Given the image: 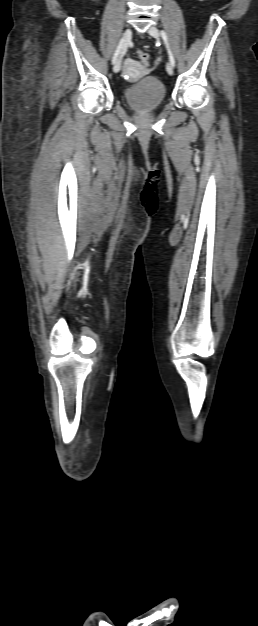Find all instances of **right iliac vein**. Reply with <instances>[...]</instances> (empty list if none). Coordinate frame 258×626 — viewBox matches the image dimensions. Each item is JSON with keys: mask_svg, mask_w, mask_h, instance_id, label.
<instances>
[{"mask_svg": "<svg viewBox=\"0 0 258 626\" xmlns=\"http://www.w3.org/2000/svg\"><path fill=\"white\" fill-rule=\"evenodd\" d=\"M131 36H132V30L131 29H126L125 32L123 33L122 39H123V46L121 49V53H120V57L118 58V60L115 62L114 67H113V71L115 73L120 71L121 68V59L122 56L125 54L127 47L131 41Z\"/></svg>", "mask_w": 258, "mask_h": 626, "instance_id": "63e3f726", "label": "right iliac vein"}]
</instances>
